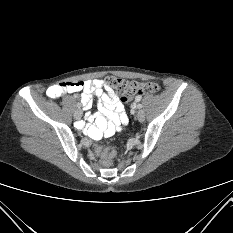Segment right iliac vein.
I'll return each mask as SVG.
<instances>
[{
    "mask_svg": "<svg viewBox=\"0 0 233 233\" xmlns=\"http://www.w3.org/2000/svg\"><path fill=\"white\" fill-rule=\"evenodd\" d=\"M82 111L81 110H76L75 112H74V118L75 119H80L81 117H82Z\"/></svg>",
    "mask_w": 233,
    "mask_h": 233,
    "instance_id": "obj_1",
    "label": "right iliac vein"
}]
</instances>
